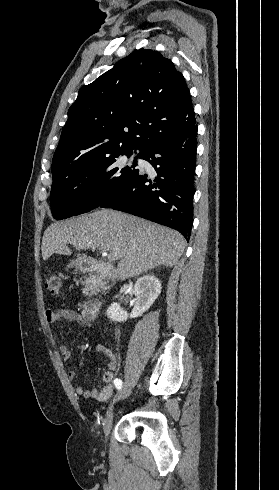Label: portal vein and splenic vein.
I'll use <instances>...</instances> for the list:
<instances>
[{"label": "portal vein and splenic vein", "mask_w": 279, "mask_h": 490, "mask_svg": "<svg viewBox=\"0 0 279 490\" xmlns=\"http://www.w3.org/2000/svg\"><path fill=\"white\" fill-rule=\"evenodd\" d=\"M103 256H107L110 262H113V260H117V256H113V254H108V252H104Z\"/></svg>", "instance_id": "portal-vein-and-splenic-vein-1"}]
</instances>
